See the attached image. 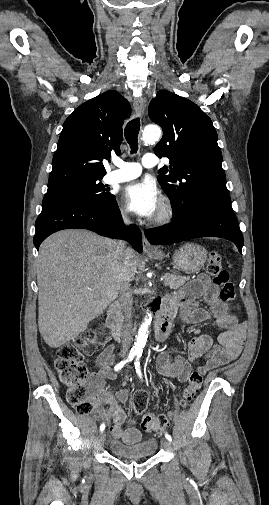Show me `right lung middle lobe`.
<instances>
[{
    "mask_svg": "<svg viewBox=\"0 0 269 505\" xmlns=\"http://www.w3.org/2000/svg\"><path fill=\"white\" fill-rule=\"evenodd\" d=\"M101 179L86 180L48 189L44 196L43 204L60 199H76L99 208L105 207L116 199L109 192L107 185L100 182Z\"/></svg>",
    "mask_w": 269,
    "mask_h": 505,
    "instance_id": "1",
    "label": "right lung middle lobe"
}]
</instances>
